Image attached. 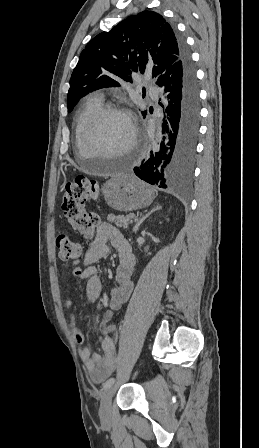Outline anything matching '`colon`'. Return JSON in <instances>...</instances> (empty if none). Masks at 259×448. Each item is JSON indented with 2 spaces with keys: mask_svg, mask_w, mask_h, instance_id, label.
<instances>
[{
  "mask_svg": "<svg viewBox=\"0 0 259 448\" xmlns=\"http://www.w3.org/2000/svg\"><path fill=\"white\" fill-rule=\"evenodd\" d=\"M100 197L98 183L89 177L78 176L67 183L61 197V210L69 226L84 237H89L95 227L99 224V217L95 213L85 210V204L89 200ZM59 259L65 264L76 266L81 258V247L78 243L67 236L57 238ZM78 276L80 270L75 269Z\"/></svg>",
  "mask_w": 259,
  "mask_h": 448,
  "instance_id": "5ec220e1",
  "label": "colon"
}]
</instances>
